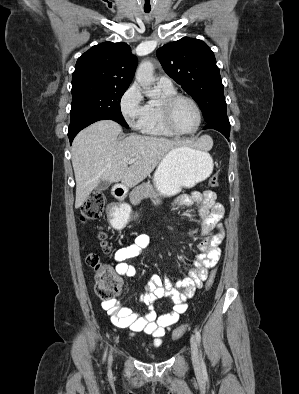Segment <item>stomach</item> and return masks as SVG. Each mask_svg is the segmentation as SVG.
<instances>
[{
	"mask_svg": "<svg viewBox=\"0 0 299 394\" xmlns=\"http://www.w3.org/2000/svg\"><path fill=\"white\" fill-rule=\"evenodd\" d=\"M212 171L213 160L207 152L183 145L163 157L154 173L153 182L160 194L173 196L182 187L190 188L204 181Z\"/></svg>",
	"mask_w": 299,
	"mask_h": 394,
	"instance_id": "obj_1",
	"label": "stomach"
}]
</instances>
